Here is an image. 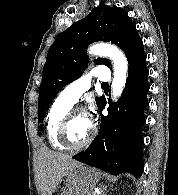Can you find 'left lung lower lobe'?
<instances>
[{"label":"left lung lower lobe","mask_w":178,"mask_h":195,"mask_svg":"<svg viewBox=\"0 0 178 195\" xmlns=\"http://www.w3.org/2000/svg\"><path fill=\"white\" fill-rule=\"evenodd\" d=\"M148 91V69L143 52L129 61L124 92L117 103L110 104L108 115H101L97 137L87 150L73 158L112 175L128 172L139 178L144 170L141 126L145 121ZM106 103L102 97L98 106L100 114Z\"/></svg>","instance_id":"1"}]
</instances>
